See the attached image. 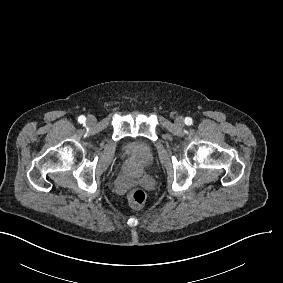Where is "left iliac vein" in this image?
I'll return each instance as SVG.
<instances>
[{
    "label": "left iliac vein",
    "instance_id": "4c4485c4",
    "mask_svg": "<svg viewBox=\"0 0 283 283\" xmlns=\"http://www.w3.org/2000/svg\"><path fill=\"white\" fill-rule=\"evenodd\" d=\"M184 124V119L182 116H179L176 118L175 120V125L178 126V127H182Z\"/></svg>",
    "mask_w": 283,
    "mask_h": 283
}]
</instances>
